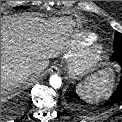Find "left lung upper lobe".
<instances>
[{"label":"left lung upper lobe","mask_w":122,"mask_h":122,"mask_svg":"<svg viewBox=\"0 0 122 122\" xmlns=\"http://www.w3.org/2000/svg\"><path fill=\"white\" fill-rule=\"evenodd\" d=\"M114 50L122 51V34L119 32H116L114 36Z\"/></svg>","instance_id":"obj_1"}]
</instances>
